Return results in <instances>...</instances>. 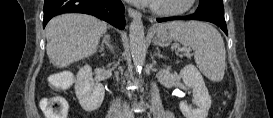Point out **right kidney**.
<instances>
[{"label":"right kidney","instance_id":"obj_1","mask_svg":"<svg viewBox=\"0 0 273 118\" xmlns=\"http://www.w3.org/2000/svg\"><path fill=\"white\" fill-rule=\"evenodd\" d=\"M75 93L85 111H93L101 106L105 89L102 84L94 82L89 65L80 68L76 77Z\"/></svg>","mask_w":273,"mask_h":118}]
</instances>
